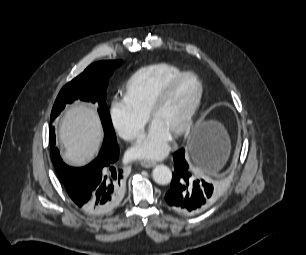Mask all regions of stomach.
Here are the masks:
<instances>
[{
	"instance_id": "obj_1",
	"label": "stomach",
	"mask_w": 306,
	"mask_h": 255,
	"mask_svg": "<svg viewBox=\"0 0 306 255\" xmlns=\"http://www.w3.org/2000/svg\"><path fill=\"white\" fill-rule=\"evenodd\" d=\"M208 143H216L221 146L222 153L219 158L212 164L211 171L205 169L206 173L213 172L222 166L227 155L228 138L224 128L220 123L216 121L201 120L197 124L188 142V146L192 151L190 156L194 164H196V151H203ZM199 167L201 169L204 168V166Z\"/></svg>"
}]
</instances>
